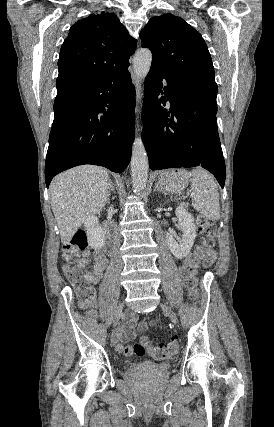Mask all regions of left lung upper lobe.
<instances>
[{
	"label": "left lung upper lobe",
	"mask_w": 274,
	"mask_h": 427,
	"mask_svg": "<svg viewBox=\"0 0 274 427\" xmlns=\"http://www.w3.org/2000/svg\"><path fill=\"white\" fill-rule=\"evenodd\" d=\"M152 65L186 83L217 91L214 67L199 32L170 13L152 17L140 32Z\"/></svg>",
	"instance_id": "left-lung-upper-lobe-1"
}]
</instances>
